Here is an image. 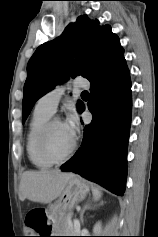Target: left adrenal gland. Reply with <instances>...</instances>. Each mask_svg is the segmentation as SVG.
<instances>
[{
	"mask_svg": "<svg viewBox=\"0 0 158 237\" xmlns=\"http://www.w3.org/2000/svg\"><path fill=\"white\" fill-rule=\"evenodd\" d=\"M100 204H103V201H101ZM90 208H92V207H91L90 204L87 202V203L84 205V207H83V209H82V211H81V213H80V220H81L82 223L84 222L83 215H84L85 211L88 210V209H90Z\"/></svg>",
	"mask_w": 158,
	"mask_h": 237,
	"instance_id": "1",
	"label": "left adrenal gland"
}]
</instances>
